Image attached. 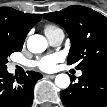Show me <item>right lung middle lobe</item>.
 <instances>
[{
	"mask_svg": "<svg viewBox=\"0 0 107 107\" xmlns=\"http://www.w3.org/2000/svg\"><path fill=\"white\" fill-rule=\"evenodd\" d=\"M21 49L13 47L4 36L0 35V70L7 69V57L13 52L21 51Z\"/></svg>",
	"mask_w": 107,
	"mask_h": 107,
	"instance_id": "dd1d6c3e",
	"label": "right lung middle lobe"
}]
</instances>
